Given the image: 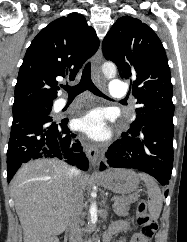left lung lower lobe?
Listing matches in <instances>:
<instances>
[{
    "mask_svg": "<svg viewBox=\"0 0 187 242\" xmlns=\"http://www.w3.org/2000/svg\"><path fill=\"white\" fill-rule=\"evenodd\" d=\"M174 129L148 125L129 129L104 155L100 170L107 166L136 169L155 177L163 186L169 184L173 168ZM168 190L165 192L167 196Z\"/></svg>",
    "mask_w": 187,
    "mask_h": 242,
    "instance_id": "obj_1",
    "label": "left lung lower lobe"
}]
</instances>
